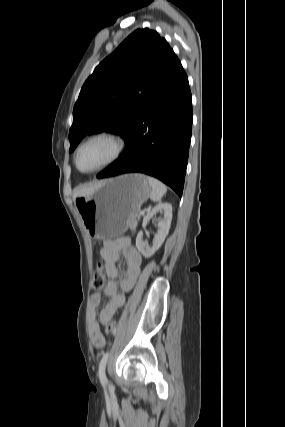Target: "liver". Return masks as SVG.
<instances>
[{
    "label": "liver",
    "mask_w": 285,
    "mask_h": 427,
    "mask_svg": "<svg viewBox=\"0 0 285 427\" xmlns=\"http://www.w3.org/2000/svg\"><path fill=\"white\" fill-rule=\"evenodd\" d=\"M103 182H96L95 184L79 186L73 191V198L91 195Z\"/></svg>",
    "instance_id": "obj_1"
}]
</instances>
